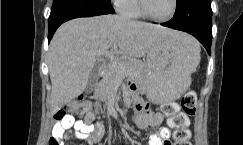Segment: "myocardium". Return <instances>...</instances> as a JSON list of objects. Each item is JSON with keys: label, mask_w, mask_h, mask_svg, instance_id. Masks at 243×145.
<instances>
[{"label": "myocardium", "mask_w": 243, "mask_h": 145, "mask_svg": "<svg viewBox=\"0 0 243 145\" xmlns=\"http://www.w3.org/2000/svg\"><path fill=\"white\" fill-rule=\"evenodd\" d=\"M136 2H137V7H138L140 13L142 14V16H144L152 21H155V22L170 21L171 19L174 18V16L177 13V10H178V0H173V8H172V11L170 12V14L166 17L159 18V17H155V16L151 15L148 12V10L146 8L145 0H136Z\"/></svg>", "instance_id": "myocardium-1"}]
</instances>
